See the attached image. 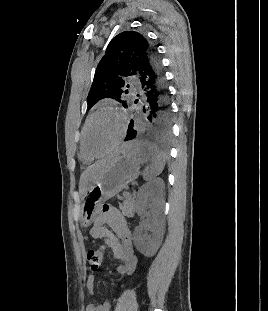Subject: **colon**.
<instances>
[{
    "label": "colon",
    "instance_id": "obj_1",
    "mask_svg": "<svg viewBox=\"0 0 268 311\" xmlns=\"http://www.w3.org/2000/svg\"><path fill=\"white\" fill-rule=\"evenodd\" d=\"M104 257V248L100 247L96 250H90L87 253V261L91 271H97L100 268Z\"/></svg>",
    "mask_w": 268,
    "mask_h": 311
}]
</instances>
